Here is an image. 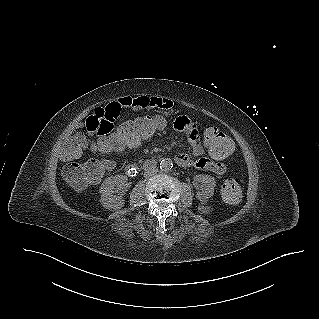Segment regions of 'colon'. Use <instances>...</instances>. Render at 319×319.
Segmentation results:
<instances>
[{"instance_id":"5ec220e1","label":"colon","mask_w":319,"mask_h":319,"mask_svg":"<svg viewBox=\"0 0 319 319\" xmlns=\"http://www.w3.org/2000/svg\"><path fill=\"white\" fill-rule=\"evenodd\" d=\"M168 129V118L162 113H153L150 116L139 115L137 121L123 123L111 134L98 138L89 136L88 143L83 135L76 134L62 149V157L68 161L63 169L64 177L73 187L82 189L87 184L98 181L105 171L112 169L114 166L112 159L121 158L136 150L141 144L160 138ZM210 131L212 132L204 140L206 151L217 160L230 159L236 150L234 140L221 130L210 129ZM87 147L91 160L84 164L74 162ZM222 197L229 204L240 202L242 190L237 178L229 177L224 181Z\"/></svg>"}]
</instances>
